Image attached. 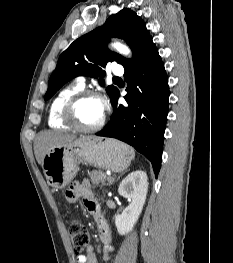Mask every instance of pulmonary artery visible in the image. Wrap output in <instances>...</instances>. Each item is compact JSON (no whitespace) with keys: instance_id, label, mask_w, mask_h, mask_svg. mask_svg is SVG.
Returning a JSON list of instances; mask_svg holds the SVG:
<instances>
[{"instance_id":"pulmonary-artery-1","label":"pulmonary artery","mask_w":233,"mask_h":263,"mask_svg":"<svg viewBox=\"0 0 233 263\" xmlns=\"http://www.w3.org/2000/svg\"><path fill=\"white\" fill-rule=\"evenodd\" d=\"M112 73L114 75H117V76H122L124 73V69L119 63H115V65L112 68ZM76 81H77V84L79 86L84 87V85H85V78L84 77L79 76Z\"/></svg>"}]
</instances>
